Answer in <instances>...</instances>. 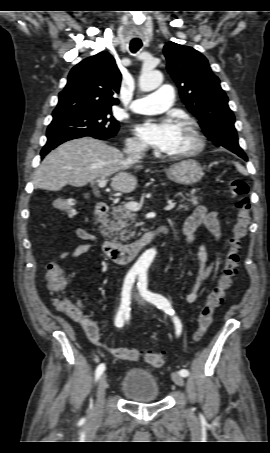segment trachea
Returning <instances> with one entry per match:
<instances>
[{"label":"trachea","instance_id":"3493384b","mask_svg":"<svg viewBox=\"0 0 270 453\" xmlns=\"http://www.w3.org/2000/svg\"><path fill=\"white\" fill-rule=\"evenodd\" d=\"M142 46L141 40H132L130 42V51L136 53Z\"/></svg>","mask_w":270,"mask_h":453}]
</instances>
